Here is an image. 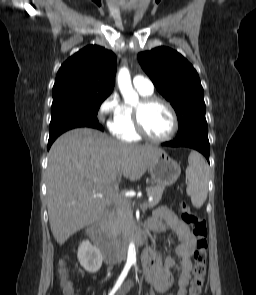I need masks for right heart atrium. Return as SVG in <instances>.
Returning a JSON list of instances; mask_svg holds the SVG:
<instances>
[{
  "label": "right heart atrium",
  "instance_id": "right-heart-atrium-1",
  "mask_svg": "<svg viewBox=\"0 0 256 295\" xmlns=\"http://www.w3.org/2000/svg\"><path fill=\"white\" fill-rule=\"evenodd\" d=\"M99 117L112 131L122 122V104L116 92L111 93L99 106Z\"/></svg>",
  "mask_w": 256,
  "mask_h": 295
}]
</instances>
